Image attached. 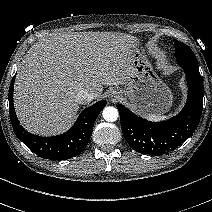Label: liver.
Returning <instances> with one entry per match:
<instances>
[{"instance_id": "liver-1", "label": "liver", "mask_w": 212, "mask_h": 212, "mask_svg": "<svg viewBox=\"0 0 212 212\" xmlns=\"http://www.w3.org/2000/svg\"><path fill=\"white\" fill-rule=\"evenodd\" d=\"M135 41L122 33L70 32L35 43L15 80L14 105L21 124L38 135L68 130L79 110V90L98 98L103 86L123 83L127 50Z\"/></svg>"}]
</instances>
